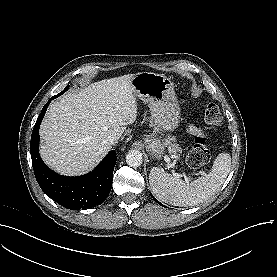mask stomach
I'll return each instance as SVG.
<instances>
[{"mask_svg": "<svg viewBox=\"0 0 277 277\" xmlns=\"http://www.w3.org/2000/svg\"><path fill=\"white\" fill-rule=\"evenodd\" d=\"M131 84L134 94L147 103L156 132L146 136L144 141L150 155L161 159L166 146L157 133L172 132L180 123V109L175 96L174 85L164 74L140 72L134 74Z\"/></svg>", "mask_w": 277, "mask_h": 277, "instance_id": "stomach-1", "label": "stomach"}]
</instances>
